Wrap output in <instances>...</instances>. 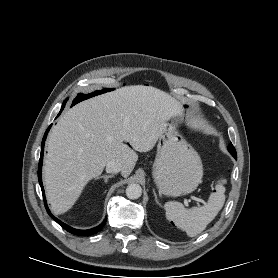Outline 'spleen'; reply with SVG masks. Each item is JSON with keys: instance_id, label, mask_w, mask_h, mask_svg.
Here are the masks:
<instances>
[{"instance_id": "obj_1", "label": "spleen", "mask_w": 278, "mask_h": 278, "mask_svg": "<svg viewBox=\"0 0 278 278\" xmlns=\"http://www.w3.org/2000/svg\"><path fill=\"white\" fill-rule=\"evenodd\" d=\"M224 183H226L225 179L219 181L215 187L216 192L211 193L208 203L203 206L186 209L182 203L176 201L165 203L164 208L167 219L173 221L174 224L185 231L189 237L200 234L216 217L224 205Z\"/></svg>"}]
</instances>
